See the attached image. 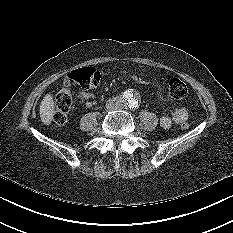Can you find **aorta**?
I'll use <instances>...</instances> for the list:
<instances>
[{"instance_id": "762f6f07", "label": "aorta", "mask_w": 233, "mask_h": 233, "mask_svg": "<svg viewBox=\"0 0 233 233\" xmlns=\"http://www.w3.org/2000/svg\"><path fill=\"white\" fill-rule=\"evenodd\" d=\"M124 98L125 100H127L128 107L130 108L137 107L138 99L135 96H133V93L131 91H126L124 93Z\"/></svg>"}]
</instances>
